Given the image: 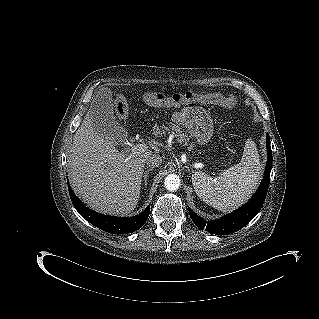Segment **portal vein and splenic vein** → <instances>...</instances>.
Listing matches in <instances>:
<instances>
[{
	"instance_id": "obj_1",
	"label": "portal vein and splenic vein",
	"mask_w": 319,
	"mask_h": 319,
	"mask_svg": "<svg viewBox=\"0 0 319 319\" xmlns=\"http://www.w3.org/2000/svg\"><path fill=\"white\" fill-rule=\"evenodd\" d=\"M147 146L146 144H135L132 145L131 150L133 154L142 153L146 150Z\"/></svg>"
}]
</instances>
